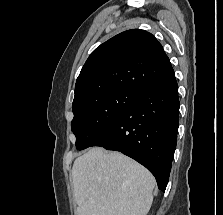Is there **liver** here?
<instances>
[{
	"label": "liver",
	"instance_id": "obj_1",
	"mask_svg": "<svg viewBox=\"0 0 223 215\" xmlns=\"http://www.w3.org/2000/svg\"><path fill=\"white\" fill-rule=\"evenodd\" d=\"M77 215H146L155 177L123 153L91 147L72 167Z\"/></svg>",
	"mask_w": 223,
	"mask_h": 215
}]
</instances>
